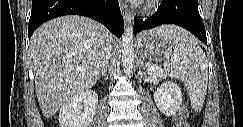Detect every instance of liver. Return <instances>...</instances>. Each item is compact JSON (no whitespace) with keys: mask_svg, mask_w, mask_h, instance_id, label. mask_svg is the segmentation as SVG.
<instances>
[{"mask_svg":"<svg viewBox=\"0 0 243 127\" xmlns=\"http://www.w3.org/2000/svg\"><path fill=\"white\" fill-rule=\"evenodd\" d=\"M112 42L104 26L77 15L55 18L33 33L29 52L37 99L46 118L96 83L104 66V49Z\"/></svg>","mask_w":243,"mask_h":127,"instance_id":"liver-1","label":"liver"}]
</instances>
